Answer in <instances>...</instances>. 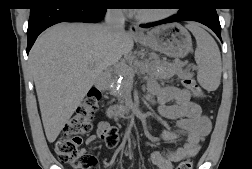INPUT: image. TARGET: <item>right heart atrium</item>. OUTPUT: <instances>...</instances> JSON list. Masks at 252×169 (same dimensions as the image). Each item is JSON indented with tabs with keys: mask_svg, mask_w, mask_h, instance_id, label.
Wrapping results in <instances>:
<instances>
[{
	"mask_svg": "<svg viewBox=\"0 0 252 169\" xmlns=\"http://www.w3.org/2000/svg\"><path fill=\"white\" fill-rule=\"evenodd\" d=\"M117 10V12H122V10L121 9H116Z\"/></svg>",
	"mask_w": 252,
	"mask_h": 169,
	"instance_id": "d8ad5b80",
	"label": "right heart atrium"
}]
</instances>
